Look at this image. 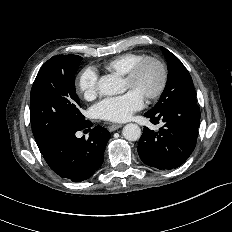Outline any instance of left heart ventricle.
Returning <instances> with one entry per match:
<instances>
[{"label": "left heart ventricle", "instance_id": "b2bd125f", "mask_svg": "<svg viewBox=\"0 0 232 232\" xmlns=\"http://www.w3.org/2000/svg\"><path fill=\"white\" fill-rule=\"evenodd\" d=\"M159 81V72L156 66L150 64L143 68L135 84L126 80V86L137 91L143 97L151 93L157 87Z\"/></svg>", "mask_w": 232, "mask_h": 232}]
</instances>
